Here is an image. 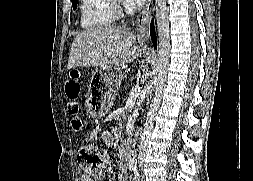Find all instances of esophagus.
Masks as SVG:
<instances>
[{
  "mask_svg": "<svg viewBox=\"0 0 253 181\" xmlns=\"http://www.w3.org/2000/svg\"><path fill=\"white\" fill-rule=\"evenodd\" d=\"M154 11L153 0H146L145 6L136 19L135 32L138 39L148 40L150 20Z\"/></svg>",
  "mask_w": 253,
  "mask_h": 181,
  "instance_id": "obj_1",
  "label": "esophagus"
}]
</instances>
